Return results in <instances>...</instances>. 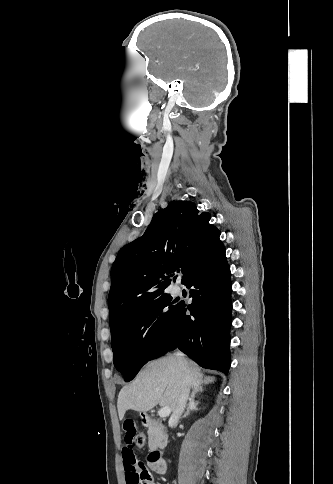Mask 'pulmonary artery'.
I'll list each match as a JSON object with an SVG mask.
<instances>
[{
    "label": "pulmonary artery",
    "instance_id": "e3ab8cb5",
    "mask_svg": "<svg viewBox=\"0 0 333 484\" xmlns=\"http://www.w3.org/2000/svg\"><path fill=\"white\" fill-rule=\"evenodd\" d=\"M181 291H182V289H181L180 285L176 284V285L173 287V293H174V294L178 295V294H180V293H181Z\"/></svg>",
    "mask_w": 333,
    "mask_h": 484
}]
</instances>
